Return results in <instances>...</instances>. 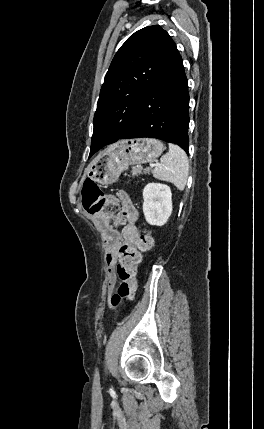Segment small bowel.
Wrapping results in <instances>:
<instances>
[{
	"mask_svg": "<svg viewBox=\"0 0 264 429\" xmlns=\"http://www.w3.org/2000/svg\"><path fill=\"white\" fill-rule=\"evenodd\" d=\"M117 197L120 200L123 214L128 220V223L121 231L110 227L108 218L100 215H92L96 226L103 232L110 285H114L116 282L114 268L118 255L123 249L134 248L139 239V232L134 224L138 217V212L132 199L123 190L117 192Z\"/></svg>",
	"mask_w": 264,
	"mask_h": 429,
	"instance_id": "obj_1",
	"label": "small bowel"
}]
</instances>
